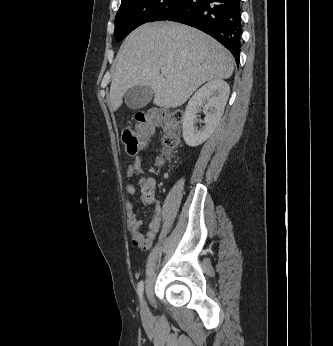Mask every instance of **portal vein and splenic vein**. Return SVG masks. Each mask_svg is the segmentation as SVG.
<instances>
[{
    "instance_id": "portal-vein-and-splenic-vein-1",
    "label": "portal vein and splenic vein",
    "mask_w": 333,
    "mask_h": 346,
    "mask_svg": "<svg viewBox=\"0 0 333 346\" xmlns=\"http://www.w3.org/2000/svg\"><path fill=\"white\" fill-rule=\"evenodd\" d=\"M168 71H169V70H168L167 68H162V69H161V74L164 75V76H166V75L168 74Z\"/></svg>"
}]
</instances>
